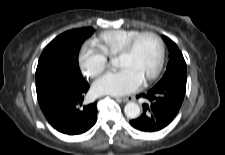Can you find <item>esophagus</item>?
Wrapping results in <instances>:
<instances>
[{
    "label": "esophagus",
    "instance_id": "obj_1",
    "mask_svg": "<svg viewBox=\"0 0 225 155\" xmlns=\"http://www.w3.org/2000/svg\"><path fill=\"white\" fill-rule=\"evenodd\" d=\"M118 101H122V102H129L130 100H133L134 97L133 96H127V97H122V98H116Z\"/></svg>",
    "mask_w": 225,
    "mask_h": 155
}]
</instances>
